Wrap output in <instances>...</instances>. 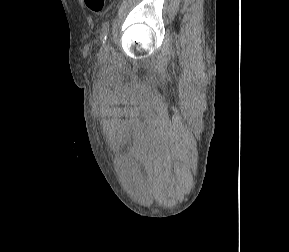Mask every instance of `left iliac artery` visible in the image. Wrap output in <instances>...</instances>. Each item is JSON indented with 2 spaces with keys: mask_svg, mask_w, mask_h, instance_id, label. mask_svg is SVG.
Here are the masks:
<instances>
[{
  "mask_svg": "<svg viewBox=\"0 0 289 252\" xmlns=\"http://www.w3.org/2000/svg\"><path fill=\"white\" fill-rule=\"evenodd\" d=\"M110 23L109 21H105L102 25L101 32H100V39L103 43L106 42L108 33H109Z\"/></svg>",
  "mask_w": 289,
  "mask_h": 252,
  "instance_id": "left-iliac-artery-1",
  "label": "left iliac artery"
}]
</instances>
